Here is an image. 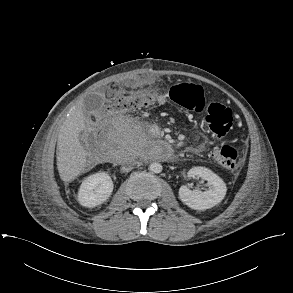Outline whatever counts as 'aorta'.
Wrapping results in <instances>:
<instances>
[{
	"label": "aorta",
	"instance_id": "762f6f07",
	"mask_svg": "<svg viewBox=\"0 0 293 293\" xmlns=\"http://www.w3.org/2000/svg\"><path fill=\"white\" fill-rule=\"evenodd\" d=\"M150 171L153 173H160L162 172V165L159 162H152L149 166Z\"/></svg>",
	"mask_w": 293,
	"mask_h": 293
}]
</instances>
